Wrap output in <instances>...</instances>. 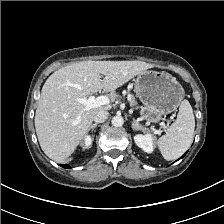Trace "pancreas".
Here are the masks:
<instances>
[{
  "instance_id": "obj_1",
  "label": "pancreas",
  "mask_w": 224,
  "mask_h": 224,
  "mask_svg": "<svg viewBox=\"0 0 224 224\" xmlns=\"http://www.w3.org/2000/svg\"><path fill=\"white\" fill-rule=\"evenodd\" d=\"M130 103H131L132 106H137V101L135 100V97L133 95H131V101H130Z\"/></svg>"
}]
</instances>
